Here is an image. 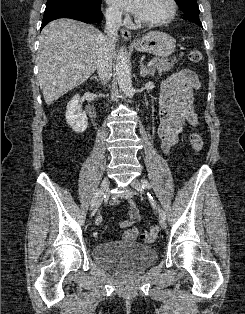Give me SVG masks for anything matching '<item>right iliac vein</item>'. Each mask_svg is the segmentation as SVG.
I'll return each instance as SVG.
<instances>
[{
    "label": "right iliac vein",
    "mask_w": 245,
    "mask_h": 314,
    "mask_svg": "<svg viewBox=\"0 0 245 314\" xmlns=\"http://www.w3.org/2000/svg\"><path fill=\"white\" fill-rule=\"evenodd\" d=\"M109 178L105 177L101 183V187H100V192L98 194V199L96 201L95 206L91 209V215H94V213L97 211V209L99 208L101 202L103 201V199L106 197V195L108 194L109 191Z\"/></svg>",
    "instance_id": "63e3f726"
}]
</instances>
